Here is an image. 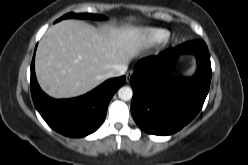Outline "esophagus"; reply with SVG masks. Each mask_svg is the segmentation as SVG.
Instances as JSON below:
<instances>
[{"instance_id": "34e87169", "label": "esophagus", "mask_w": 248, "mask_h": 165, "mask_svg": "<svg viewBox=\"0 0 248 165\" xmlns=\"http://www.w3.org/2000/svg\"><path fill=\"white\" fill-rule=\"evenodd\" d=\"M132 74H133V71H132V70H130V71H128V72L126 73V81H127V82H129L130 77L132 76Z\"/></svg>"}]
</instances>
